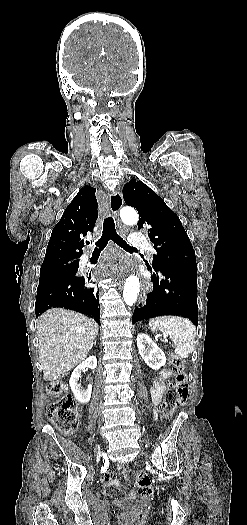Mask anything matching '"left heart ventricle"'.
<instances>
[{"mask_svg": "<svg viewBox=\"0 0 247 525\" xmlns=\"http://www.w3.org/2000/svg\"><path fill=\"white\" fill-rule=\"evenodd\" d=\"M139 264H130L129 265V270H132V269H135L138 267Z\"/></svg>", "mask_w": 247, "mask_h": 525, "instance_id": "obj_1", "label": "left heart ventricle"}]
</instances>
